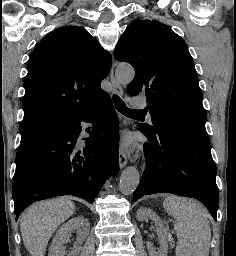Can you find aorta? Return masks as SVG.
I'll use <instances>...</instances> for the list:
<instances>
[{"mask_svg":"<svg viewBox=\"0 0 236 256\" xmlns=\"http://www.w3.org/2000/svg\"><path fill=\"white\" fill-rule=\"evenodd\" d=\"M135 71L130 65H119L116 78L122 85H128L134 78ZM140 182V175L136 167H127L120 176L119 189L124 195L132 194Z\"/></svg>","mask_w":236,"mask_h":256,"instance_id":"aorta-1","label":"aorta"}]
</instances>
